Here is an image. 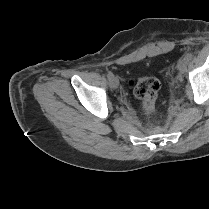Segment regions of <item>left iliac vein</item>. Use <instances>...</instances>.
Returning a JSON list of instances; mask_svg holds the SVG:
<instances>
[{
  "label": "left iliac vein",
  "mask_w": 209,
  "mask_h": 209,
  "mask_svg": "<svg viewBox=\"0 0 209 209\" xmlns=\"http://www.w3.org/2000/svg\"><path fill=\"white\" fill-rule=\"evenodd\" d=\"M188 61L184 58L180 59L177 63V69L179 70L180 74H182L187 66Z\"/></svg>",
  "instance_id": "left-iliac-vein-1"
}]
</instances>
